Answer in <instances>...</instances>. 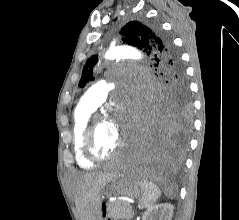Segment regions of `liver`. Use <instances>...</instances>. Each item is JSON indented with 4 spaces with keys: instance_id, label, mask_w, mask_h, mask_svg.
Listing matches in <instances>:
<instances>
[{
    "instance_id": "1",
    "label": "liver",
    "mask_w": 239,
    "mask_h": 220,
    "mask_svg": "<svg viewBox=\"0 0 239 220\" xmlns=\"http://www.w3.org/2000/svg\"><path fill=\"white\" fill-rule=\"evenodd\" d=\"M114 172H91L75 178L73 193L80 220H97L100 214V192L117 177Z\"/></svg>"
}]
</instances>
